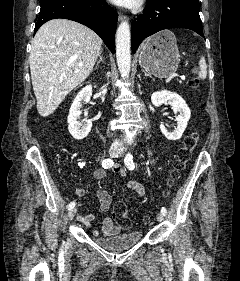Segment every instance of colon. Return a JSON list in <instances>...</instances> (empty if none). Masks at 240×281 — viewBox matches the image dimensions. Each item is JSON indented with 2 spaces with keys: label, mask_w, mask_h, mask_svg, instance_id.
I'll return each mask as SVG.
<instances>
[{
  "label": "colon",
  "mask_w": 240,
  "mask_h": 281,
  "mask_svg": "<svg viewBox=\"0 0 240 281\" xmlns=\"http://www.w3.org/2000/svg\"><path fill=\"white\" fill-rule=\"evenodd\" d=\"M198 80L192 78L189 82L190 86L196 87ZM199 139V132L195 131L188 135L183 142V145L177 151L175 160L173 162V168L171 170L170 179L168 185L172 186L177 181L186 167V164L192 156V152L195 149ZM113 217L121 229H128L131 227V220L128 217L126 206L122 202H117L114 206Z\"/></svg>",
  "instance_id": "5ec220e1"
}]
</instances>
